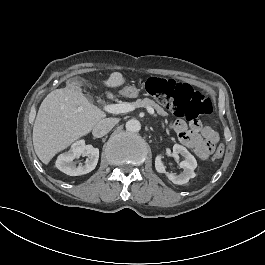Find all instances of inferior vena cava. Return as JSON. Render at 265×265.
Wrapping results in <instances>:
<instances>
[{"mask_svg":"<svg viewBox=\"0 0 265 265\" xmlns=\"http://www.w3.org/2000/svg\"><path fill=\"white\" fill-rule=\"evenodd\" d=\"M116 120L113 118H104L100 120L93 128L92 134L95 138H102L115 126Z\"/></svg>","mask_w":265,"mask_h":265,"instance_id":"inferior-vena-cava-1","label":"inferior vena cava"}]
</instances>
